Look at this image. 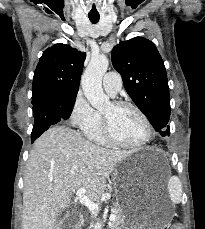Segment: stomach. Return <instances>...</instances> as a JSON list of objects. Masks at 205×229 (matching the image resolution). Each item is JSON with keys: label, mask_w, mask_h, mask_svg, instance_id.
<instances>
[{"label": "stomach", "mask_w": 205, "mask_h": 229, "mask_svg": "<svg viewBox=\"0 0 205 229\" xmlns=\"http://www.w3.org/2000/svg\"><path fill=\"white\" fill-rule=\"evenodd\" d=\"M150 148L130 154L113 172V181L124 218V229H165L172 219L173 209L161 203L149 206L138 195L143 173V161Z\"/></svg>", "instance_id": "obj_1"}]
</instances>
